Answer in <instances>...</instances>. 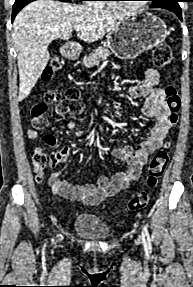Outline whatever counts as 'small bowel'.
<instances>
[{"label": "small bowel", "mask_w": 193, "mask_h": 287, "mask_svg": "<svg viewBox=\"0 0 193 287\" xmlns=\"http://www.w3.org/2000/svg\"><path fill=\"white\" fill-rule=\"evenodd\" d=\"M159 79V72L148 68L143 71L142 82L129 90L133 98L145 97L141 113L145 118L152 120V125L138 148L126 145L112 150V156L124 161L127 165L126 168L110 178L103 176L96 183L83 186L73 185L62 180V172L55 170L49 178V183L56 195L73 202L96 205L126 188L131 181L139 178L149 156L162 146L170 129L169 109L165 101L164 91L157 87ZM65 125L70 130H76V124L72 121H66ZM27 135L31 139H36L40 133L33 126L28 130ZM83 135V130H76L78 138H82ZM42 139L46 148L56 147V137L53 134H45ZM69 157L70 148L64 146L51 154L50 165L55 167L59 163L67 161Z\"/></svg>", "instance_id": "1"}]
</instances>
